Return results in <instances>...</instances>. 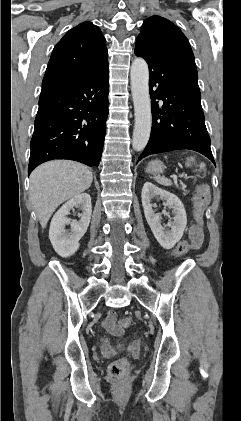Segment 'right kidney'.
I'll list each match as a JSON object with an SVG mask.
<instances>
[{"label": "right kidney", "mask_w": 241, "mask_h": 421, "mask_svg": "<svg viewBox=\"0 0 241 421\" xmlns=\"http://www.w3.org/2000/svg\"><path fill=\"white\" fill-rule=\"evenodd\" d=\"M74 207H79L82 210L79 221L67 217ZM91 213V197L87 193L74 196L55 213L50 224L49 239L54 250L60 256L69 257L78 250L79 240L89 226ZM66 225H70V232L66 230Z\"/></svg>", "instance_id": "1"}]
</instances>
